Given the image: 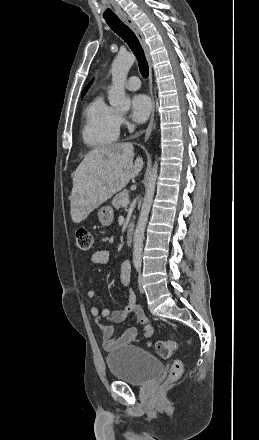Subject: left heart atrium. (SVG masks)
<instances>
[{
  "instance_id": "obj_1",
  "label": "left heart atrium",
  "mask_w": 259,
  "mask_h": 440,
  "mask_svg": "<svg viewBox=\"0 0 259 440\" xmlns=\"http://www.w3.org/2000/svg\"><path fill=\"white\" fill-rule=\"evenodd\" d=\"M152 110V102L145 94H136L131 99V116L138 123L145 122Z\"/></svg>"
}]
</instances>
